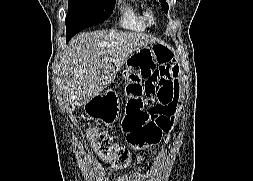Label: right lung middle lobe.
I'll use <instances>...</instances> for the list:
<instances>
[{
	"instance_id": "right-lung-middle-lobe-1",
	"label": "right lung middle lobe",
	"mask_w": 253,
	"mask_h": 181,
	"mask_svg": "<svg viewBox=\"0 0 253 181\" xmlns=\"http://www.w3.org/2000/svg\"><path fill=\"white\" fill-rule=\"evenodd\" d=\"M114 4V0H69L66 36H74L81 30L106 20L112 14Z\"/></svg>"
}]
</instances>
